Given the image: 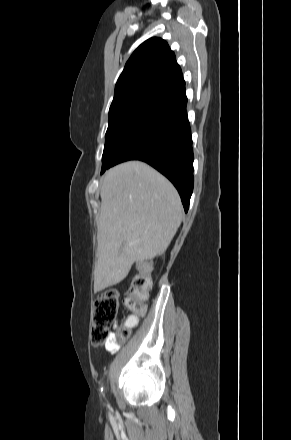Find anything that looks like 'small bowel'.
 I'll return each instance as SVG.
<instances>
[{"label": "small bowel", "mask_w": 291, "mask_h": 440, "mask_svg": "<svg viewBox=\"0 0 291 440\" xmlns=\"http://www.w3.org/2000/svg\"><path fill=\"white\" fill-rule=\"evenodd\" d=\"M138 322H139L138 317H136V316H128V317L124 320L123 324H124V326H126V327H135V326L138 324ZM112 333H113V332H112ZM105 349H106V351H107L108 353H115V352L118 351V349H119V345H118V343L115 341V337H114L113 335H112V337H111V342H107V343L105 344Z\"/></svg>", "instance_id": "obj_1"}]
</instances>
